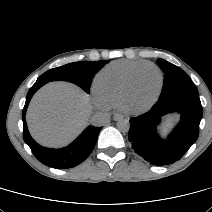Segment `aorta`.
<instances>
[{
	"mask_svg": "<svg viewBox=\"0 0 212 212\" xmlns=\"http://www.w3.org/2000/svg\"><path fill=\"white\" fill-rule=\"evenodd\" d=\"M117 128L121 132H128L130 129V122L127 119H121L117 122Z\"/></svg>",
	"mask_w": 212,
	"mask_h": 212,
	"instance_id": "obj_1",
	"label": "aorta"
}]
</instances>
